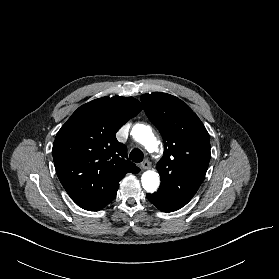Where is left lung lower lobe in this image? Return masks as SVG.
I'll return each mask as SVG.
<instances>
[{
  "instance_id": "1",
  "label": "left lung lower lobe",
  "mask_w": 279,
  "mask_h": 279,
  "mask_svg": "<svg viewBox=\"0 0 279 279\" xmlns=\"http://www.w3.org/2000/svg\"><path fill=\"white\" fill-rule=\"evenodd\" d=\"M147 199L163 212H173L185 206L190 200L164 196L157 192L147 194Z\"/></svg>"
}]
</instances>
